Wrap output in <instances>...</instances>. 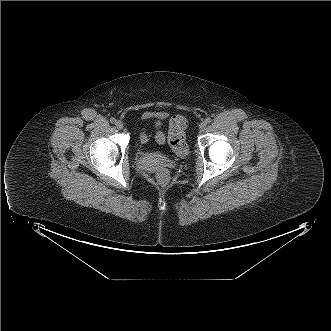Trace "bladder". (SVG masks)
I'll return each mask as SVG.
<instances>
[{
    "mask_svg": "<svg viewBox=\"0 0 331 331\" xmlns=\"http://www.w3.org/2000/svg\"><path fill=\"white\" fill-rule=\"evenodd\" d=\"M137 152L140 157L148 158V159H160L164 156V154L160 151L149 152V151L142 150L139 147H137ZM186 153L183 156H185Z\"/></svg>",
    "mask_w": 331,
    "mask_h": 331,
    "instance_id": "bladder-1",
    "label": "bladder"
}]
</instances>
